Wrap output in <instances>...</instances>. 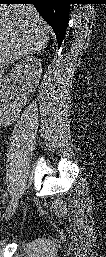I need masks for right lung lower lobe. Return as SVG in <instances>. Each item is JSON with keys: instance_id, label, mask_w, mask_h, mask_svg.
<instances>
[{"instance_id": "right-lung-lower-lobe-1", "label": "right lung lower lobe", "mask_w": 106, "mask_h": 257, "mask_svg": "<svg viewBox=\"0 0 106 257\" xmlns=\"http://www.w3.org/2000/svg\"><path fill=\"white\" fill-rule=\"evenodd\" d=\"M3 4H33L43 19L52 27L58 42L61 46L67 24L70 4L72 0H0Z\"/></svg>"}]
</instances>
